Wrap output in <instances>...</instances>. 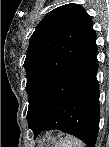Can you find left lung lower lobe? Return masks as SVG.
Instances as JSON below:
<instances>
[{"label":"left lung lower lobe","instance_id":"left-lung-lower-lobe-1","mask_svg":"<svg viewBox=\"0 0 109 147\" xmlns=\"http://www.w3.org/2000/svg\"><path fill=\"white\" fill-rule=\"evenodd\" d=\"M96 33L60 71L38 120L34 138L59 129L94 147L99 130V84Z\"/></svg>","mask_w":109,"mask_h":147}]
</instances>
